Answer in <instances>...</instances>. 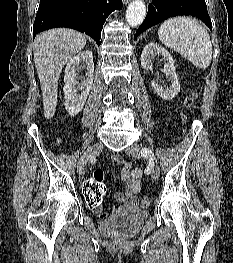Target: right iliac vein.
<instances>
[{
	"label": "right iliac vein",
	"instance_id": "obj_1",
	"mask_svg": "<svg viewBox=\"0 0 233 263\" xmlns=\"http://www.w3.org/2000/svg\"><path fill=\"white\" fill-rule=\"evenodd\" d=\"M102 150H103L102 143H96L86 150V152L81 156L77 165V170L80 175L85 174V167L89 159L92 156L99 154Z\"/></svg>",
	"mask_w": 233,
	"mask_h": 263
}]
</instances>
